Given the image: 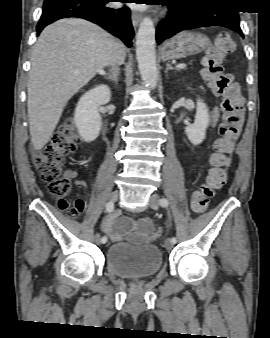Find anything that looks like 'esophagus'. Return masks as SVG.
Returning a JSON list of instances; mask_svg holds the SVG:
<instances>
[{
    "mask_svg": "<svg viewBox=\"0 0 270 338\" xmlns=\"http://www.w3.org/2000/svg\"><path fill=\"white\" fill-rule=\"evenodd\" d=\"M131 19H132V23H133L134 28H137V26L139 25V23L142 20V16L138 12L133 10L132 14H131Z\"/></svg>",
    "mask_w": 270,
    "mask_h": 338,
    "instance_id": "obj_1",
    "label": "esophagus"
}]
</instances>
